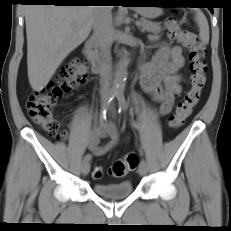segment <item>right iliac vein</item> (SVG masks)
Wrapping results in <instances>:
<instances>
[{"label": "right iliac vein", "instance_id": "obj_1", "mask_svg": "<svg viewBox=\"0 0 231 231\" xmlns=\"http://www.w3.org/2000/svg\"><path fill=\"white\" fill-rule=\"evenodd\" d=\"M102 100H103V102L106 100V96H103L102 97ZM81 171H82V174L85 176V175H87L88 173H89V171H90V163H89V161H84L83 163H82V166H81Z\"/></svg>", "mask_w": 231, "mask_h": 231}]
</instances>
